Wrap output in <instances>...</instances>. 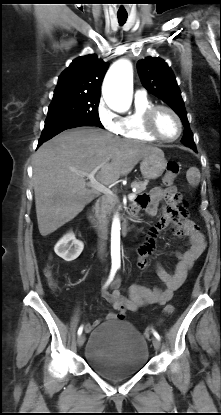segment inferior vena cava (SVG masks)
Returning a JSON list of instances; mask_svg holds the SVG:
<instances>
[{
    "label": "inferior vena cava",
    "mask_w": 221,
    "mask_h": 415,
    "mask_svg": "<svg viewBox=\"0 0 221 415\" xmlns=\"http://www.w3.org/2000/svg\"><path fill=\"white\" fill-rule=\"evenodd\" d=\"M106 240V227L105 225H101L100 229H99V246H100V253L103 254L104 252V247H105V242Z\"/></svg>",
    "instance_id": "inferior-vena-cava-1"
}]
</instances>
